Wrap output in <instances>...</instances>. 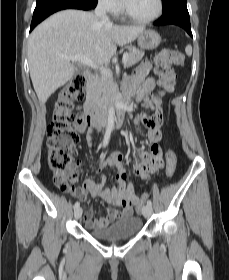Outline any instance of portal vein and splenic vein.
Returning <instances> with one entry per match:
<instances>
[{"instance_id":"1","label":"portal vein and splenic vein","mask_w":229,"mask_h":280,"mask_svg":"<svg viewBox=\"0 0 229 280\" xmlns=\"http://www.w3.org/2000/svg\"><path fill=\"white\" fill-rule=\"evenodd\" d=\"M61 59L63 60H69V61H75V62H80L86 66H89L93 69H98L100 70V72L103 75H110V72L107 68H105L103 65L101 64H97L95 62H93L92 60H90L88 57L85 56H80V55H75V56H66V55H62L60 56ZM129 55L128 53H124L123 54V58H122V62L125 66L126 62L128 61Z\"/></svg>"}]
</instances>
